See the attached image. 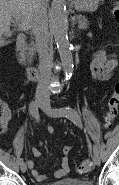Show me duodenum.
Returning <instances> with one entry per match:
<instances>
[{
    "instance_id": "obj_1",
    "label": "duodenum",
    "mask_w": 119,
    "mask_h": 185,
    "mask_svg": "<svg viewBox=\"0 0 119 185\" xmlns=\"http://www.w3.org/2000/svg\"><path fill=\"white\" fill-rule=\"evenodd\" d=\"M16 52L18 62L24 66L26 75L29 80H37L40 77L39 69L29 66L26 59V37L23 34L18 35L16 41Z\"/></svg>"
}]
</instances>
